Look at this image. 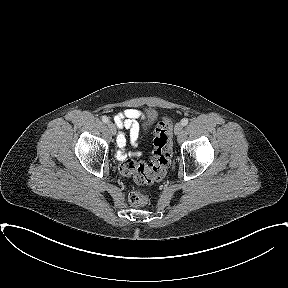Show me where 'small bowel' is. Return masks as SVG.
Listing matches in <instances>:
<instances>
[{
	"label": "small bowel",
	"mask_w": 288,
	"mask_h": 288,
	"mask_svg": "<svg viewBox=\"0 0 288 288\" xmlns=\"http://www.w3.org/2000/svg\"><path fill=\"white\" fill-rule=\"evenodd\" d=\"M144 119V114L142 111L135 108H128L124 111L118 113L114 117L115 124L120 130H129V140L130 144L134 147H138V136L140 132V125L138 120ZM117 143L120 148H124L126 145L125 135L121 132L117 137ZM139 155V152H136ZM128 154L123 150L118 151L117 158L122 160L126 158Z\"/></svg>",
	"instance_id": "c3829d8e"
}]
</instances>
